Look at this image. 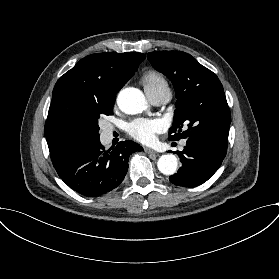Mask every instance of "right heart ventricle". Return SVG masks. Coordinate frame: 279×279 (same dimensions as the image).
I'll use <instances>...</instances> for the list:
<instances>
[{
	"label": "right heart ventricle",
	"mask_w": 279,
	"mask_h": 279,
	"mask_svg": "<svg viewBox=\"0 0 279 279\" xmlns=\"http://www.w3.org/2000/svg\"><path fill=\"white\" fill-rule=\"evenodd\" d=\"M143 83L145 88H156L167 84V81L160 72L149 70L143 75Z\"/></svg>",
	"instance_id": "e07e8e85"
}]
</instances>
